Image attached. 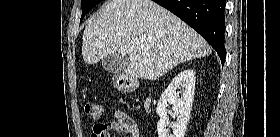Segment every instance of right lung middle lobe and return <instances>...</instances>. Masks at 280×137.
<instances>
[{"instance_id":"right-lung-middle-lobe-1","label":"right lung middle lobe","mask_w":280,"mask_h":137,"mask_svg":"<svg viewBox=\"0 0 280 137\" xmlns=\"http://www.w3.org/2000/svg\"><path fill=\"white\" fill-rule=\"evenodd\" d=\"M102 0H81V7H82V16L81 20L84 18V16L99 2Z\"/></svg>"}]
</instances>
